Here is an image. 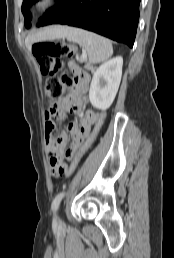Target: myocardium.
I'll use <instances>...</instances> for the list:
<instances>
[{
	"instance_id": "myocardium-1",
	"label": "myocardium",
	"mask_w": 174,
	"mask_h": 258,
	"mask_svg": "<svg viewBox=\"0 0 174 258\" xmlns=\"http://www.w3.org/2000/svg\"><path fill=\"white\" fill-rule=\"evenodd\" d=\"M60 2V0H34L32 9L35 13H46L55 9Z\"/></svg>"
}]
</instances>
